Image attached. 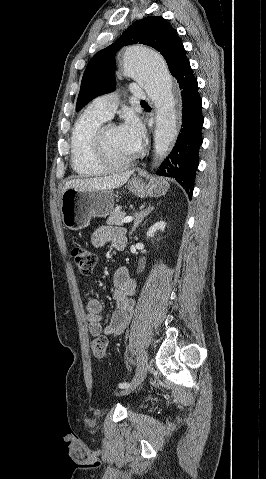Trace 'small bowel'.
<instances>
[{"label": "small bowel", "instance_id": "c3829d8e", "mask_svg": "<svg viewBox=\"0 0 266 479\" xmlns=\"http://www.w3.org/2000/svg\"><path fill=\"white\" fill-rule=\"evenodd\" d=\"M91 243L95 247H103L111 243L117 250L126 247L127 239L124 230L117 226H101L91 234ZM136 282L129 276L127 268H119L113 277V298L115 309L110 322L103 327V305L95 298H89L86 303L88 329L92 336H109L118 338L128 326L134 313Z\"/></svg>", "mask_w": 266, "mask_h": 479}]
</instances>
